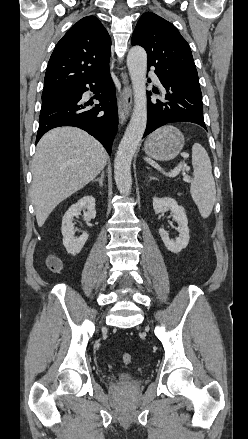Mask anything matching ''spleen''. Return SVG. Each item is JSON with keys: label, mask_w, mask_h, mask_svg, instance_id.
Segmentation results:
<instances>
[{"label": "spleen", "mask_w": 248, "mask_h": 439, "mask_svg": "<svg viewBox=\"0 0 248 439\" xmlns=\"http://www.w3.org/2000/svg\"><path fill=\"white\" fill-rule=\"evenodd\" d=\"M192 165L194 171L190 193L201 216L207 218L216 200V189L210 158L199 143H195L192 147Z\"/></svg>", "instance_id": "3e777b00"}]
</instances>
